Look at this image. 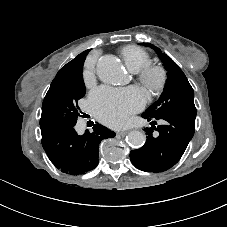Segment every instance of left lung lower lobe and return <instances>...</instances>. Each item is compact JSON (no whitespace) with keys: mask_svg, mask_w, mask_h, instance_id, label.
Masks as SVG:
<instances>
[{"mask_svg":"<svg viewBox=\"0 0 227 227\" xmlns=\"http://www.w3.org/2000/svg\"><path fill=\"white\" fill-rule=\"evenodd\" d=\"M151 122V128H145L146 143L130 153L133 165L145 172H163L170 169L182 157L195 131V119L177 114L152 117L142 114ZM155 120H161L157 128ZM156 130L158 133L154 132Z\"/></svg>","mask_w":227,"mask_h":227,"instance_id":"left-lung-lower-lobe-1","label":"left lung lower lobe"}]
</instances>
